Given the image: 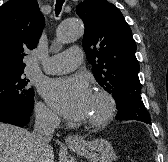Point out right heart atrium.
I'll return each instance as SVG.
<instances>
[{
	"instance_id": "1",
	"label": "right heart atrium",
	"mask_w": 168,
	"mask_h": 162,
	"mask_svg": "<svg viewBox=\"0 0 168 162\" xmlns=\"http://www.w3.org/2000/svg\"><path fill=\"white\" fill-rule=\"evenodd\" d=\"M37 119L44 125H55L58 121L57 115L43 103H38L35 107Z\"/></svg>"
}]
</instances>
